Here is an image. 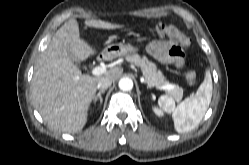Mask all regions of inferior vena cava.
Returning <instances> with one entry per match:
<instances>
[{"label":"inferior vena cava","instance_id":"1","mask_svg":"<svg viewBox=\"0 0 249 165\" xmlns=\"http://www.w3.org/2000/svg\"><path fill=\"white\" fill-rule=\"evenodd\" d=\"M112 84V80L109 78H102L98 84H97V88L100 90H105L107 88H109Z\"/></svg>","mask_w":249,"mask_h":165}]
</instances>
